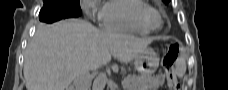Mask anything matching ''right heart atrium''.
Instances as JSON below:
<instances>
[{"label": "right heart atrium", "instance_id": "1", "mask_svg": "<svg viewBox=\"0 0 228 90\" xmlns=\"http://www.w3.org/2000/svg\"><path fill=\"white\" fill-rule=\"evenodd\" d=\"M82 5L84 7L85 13L88 15L89 18L93 19L95 17L94 15V9L98 5L97 0H83ZM97 14L101 18V11H98Z\"/></svg>", "mask_w": 228, "mask_h": 90}]
</instances>
